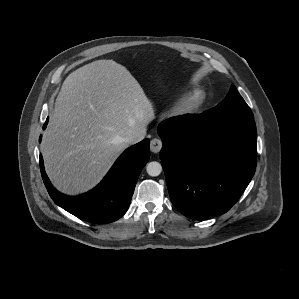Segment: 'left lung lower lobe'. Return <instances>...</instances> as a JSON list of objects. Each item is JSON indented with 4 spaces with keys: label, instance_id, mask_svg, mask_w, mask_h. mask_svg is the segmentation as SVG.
I'll return each instance as SVG.
<instances>
[{
    "label": "left lung lower lobe",
    "instance_id": "0a47b994",
    "mask_svg": "<svg viewBox=\"0 0 299 299\" xmlns=\"http://www.w3.org/2000/svg\"><path fill=\"white\" fill-rule=\"evenodd\" d=\"M157 131L173 205L196 220L227 212L255 173V121L220 122L202 113L167 119Z\"/></svg>",
    "mask_w": 299,
    "mask_h": 299
}]
</instances>
